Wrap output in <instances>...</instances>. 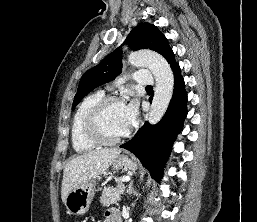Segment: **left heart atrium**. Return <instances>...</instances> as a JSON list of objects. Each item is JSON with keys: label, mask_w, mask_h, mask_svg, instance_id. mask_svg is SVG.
Instances as JSON below:
<instances>
[{"label": "left heart atrium", "mask_w": 257, "mask_h": 222, "mask_svg": "<svg viewBox=\"0 0 257 222\" xmlns=\"http://www.w3.org/2000/svg\"><path fill=\"white\" fill-rule=\"evenodd\" d=\"M138 116V106L135 101H131L128 104L124 105V121L126 131L135 124Z\"/></svg>", "instance_id": "left-heart-atrium-1"}]
</instances>
